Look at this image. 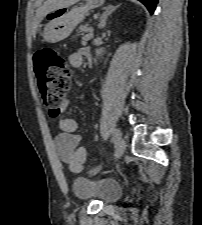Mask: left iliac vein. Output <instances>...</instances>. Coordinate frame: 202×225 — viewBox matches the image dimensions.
I'll list each match as a JSON object with an SVG mask.
<instances>
[{"label":"left iliac vein","mask_w":202,"mask_h":225,"mask_svg":"<svg viewBox=\"0 0 202 225\" xmlns=\"http://www.w3.org/2000/svg\"><path fill=\"white\" fill-rule=\"evenodd\" d=\"M125 149H126V142L122 137H119L117 147L115 150V157L120 158L124 154Z\"/></svg>","instance_id":"obj_1"}]
</instances>
